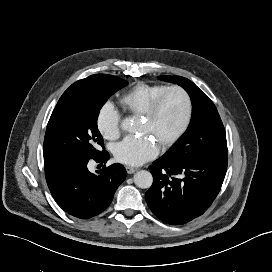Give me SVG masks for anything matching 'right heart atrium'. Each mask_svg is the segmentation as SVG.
I'll list each match as a JSON object with an SVG mask.
<instances>
[{
  "label": "right heart atrium",
  "instance_id": "right-heart-atrium-1",
  "mask_svg": "<svg viewBox=\"0 0 272 272\" xmlns=\"http://www.w3.org/2000/svg\"><path fill=\"white\" fill-rule=\"evenodd\" d=\"M96 129L106 140H115L121 132V116L115 106L110 102H104L95 118Z\"/></svg>",
  "mask_w": 272,
  "mask_h": 272
}]
</instances>
